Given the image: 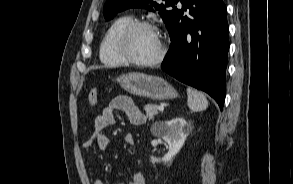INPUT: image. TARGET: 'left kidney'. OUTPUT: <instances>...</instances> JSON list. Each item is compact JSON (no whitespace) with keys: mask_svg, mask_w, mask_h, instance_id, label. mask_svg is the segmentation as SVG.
Returning a JSON list of instances; mask_svg holds the SVG:
<instances>
[{"mask_svg":"<svg viewBox=\"0 0 293 184\" xmlns=\"http://www.w3.org/2000/svg\"><path fill=\"white\" fill-rule=\"evenodd\" d=\"M193 126L188 123L184 118L178 117L162 124L160 129L161 137L168 143L169 151L162 159L151 157V162H164L170 164L175 155L178 154L184 142L192 131Z\"/></svg>","mask_w":293,"mask_h":184,"instance_id":"5707ae66","label":"left kidney"}]
</instances>
